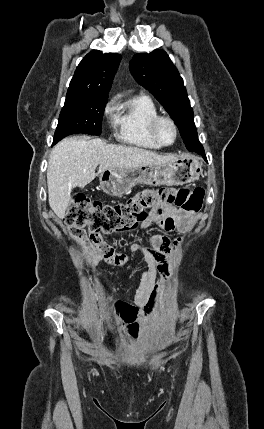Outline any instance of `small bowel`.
Listing matches in <instances>:
<instances>
[{"mask_svg": "<svg viewBox=\"0 0 264 429\" xmlns=\"http://www.w3.org/2000/svg\"><path fill=\"white\" fill-rule=\"evenodd\" d=\"M191 222L192 219L181 209L172 204H164L150 213L144 227L147 229L152 225H158L166 231H184L190 227ZM70 235L72 240L83 250L85 261L91 270H94L101 262L112 266H123L129 259L125 252L118 251L113 245L104 241L102 237L94 239L85 232H70ZM180 242V238L171 241L165 236L152 235L148 239V245L133 243L130 246V250L140 254L148 264V269L143 274L141 287L136 296V303L139 308L130 305L134 319L128 324V333L132 337H137L139 333L137 317L139 315L150 316L157 303L160 294V286L154 283L157 270L162 273L164 278L168 277V257L176 251ZM118 304L128 305L126 303Z\"/></svg>", "mask_w": 264, "mask_h": 429, "instance_id": "c3829d8e", "label": "small bowel"}]
</instances>
